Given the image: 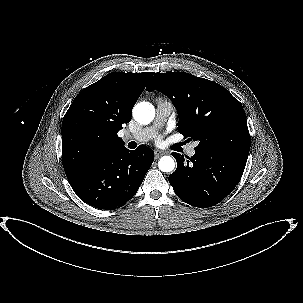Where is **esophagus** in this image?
Instances as JSON below:
<instances>
[{
    "label": "esophagus",
    "mask_w": 303,
    "mask_h": 303,
    "mask_svg": "<svg viewBox=\"0 0 303 303\" xmlns=\"http://www.w3.org/2000/svg\"><path fill=\"white\" fill-rule=\"evenodd\" d=\"M154 153H155V158L156 159H158L159 157H161L164 154V152H162L160 150H155Z\"/></svg>",
    "instance_id": "esophagus-1"
}]
</instances>
